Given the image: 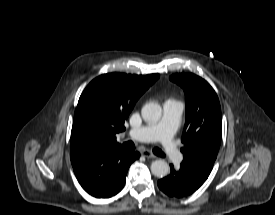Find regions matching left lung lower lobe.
<instances>
[{
	"label": "left lung lower lobe",
	"instance_id": "left-lung-lower-lobe-1",
	"mask_svg": "<svg viewBox=\"0 0 275 215\" xmlns=\"http://www.w3.org/2000/svg\"><path fill=\"white\" fill-rule=\"evenodd\" d=\"M207 178L208 175L181 163L178 169L171 165L170 174L158 181V187L170 197L182 198L195 192Z\"/></svg>",
	"mask_w": 275,
	"mask_h": 215
}]
</instances>
